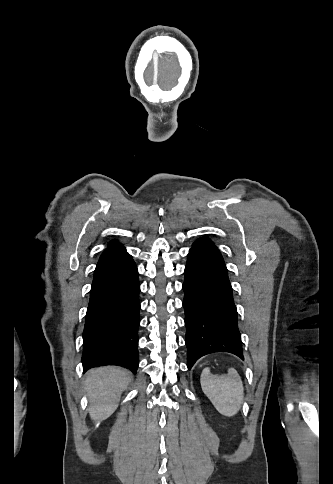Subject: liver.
I'll use <instances>...</instances> for the list:
<instances>
[{
  "label": "liver",
  "mask_w": 333,
  "mask_h": 484,
  "mask_svg": "<svg viewBox=\"0 0 333 484\" xmlns=\"http://www.w3.org/2000/svg\"><path fill=\"white\" fill-rule=\"evenodd\" d=\"M130 382L129 374L116 366L91 369L85 380L90 408L94 421L108 418L116 409L121 393Z\"/></svg>",
  "instance_id": "1"
}]
</instances>
